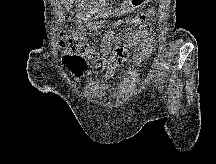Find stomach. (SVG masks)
Wrapping results in <instances>:
<instances>
[{"label": "stomach", "mask_w": 216, "mask_h": 164, "mask_svg": "<svg viewBox=\"0 0 216 164\" xmlns=\"http://www.w3.org/2000/svg\"><path fill=\"white\" fill-rule=\"evenodd\" d=\"M149 0H118L117 12H110L109 16L114 17L115 20H126L127 17H131L130 10H135L144 7ZM124 3L126 6L124 8ZM110 11L109 7L105 9H91V14H107ZM125 11V12H124Z\"/></svg>", "instance_id": "stomach-1"}]
</instances>
